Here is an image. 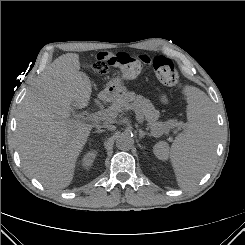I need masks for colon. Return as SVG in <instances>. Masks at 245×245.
I'll list each match as a JSON object with an SVG mask.
<instances>
[{
  "mask_svg": "<svg viewBox=\"0 0 245 245\" xmlns=\"http://www.w3.org/2000/svg\"><path fill=\"white\" fill-rule=\"evenodd\" d=\"M144 64L150 65L161 83L167 86L180 87V77L170 59L164 56L148 57L125 52L116 54H99L90 63V67L101 75L110 70L118 73L123 79H131L139 74Z\"/></svg>",
  "mask_w": 245,
  "mask_h": 245,
  "instance_id": "obj_1",
  "label": "colon"
}]
</instances>
